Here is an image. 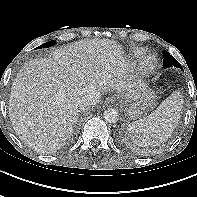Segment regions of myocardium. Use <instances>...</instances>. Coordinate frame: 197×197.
Returning a JSON list of instances; mask_svg holds the SVG:
<instances>
[{"label":"myocardium","instance_id":"1","mask_svg":"<svg viewBox=\"0 0 197 197\" xmlns=\"http://www.w3.org/2000/svg\"><path fill=\"white\" fill-rule=\"evenodd\" d=\"M157 66V59L154 55H149L141 62V70L145 73L151 72Z\"/></svg>","mask_w":197,"mask_h":197}]
</instances>
